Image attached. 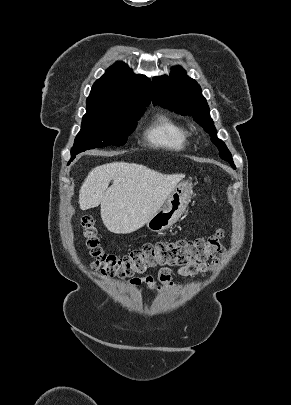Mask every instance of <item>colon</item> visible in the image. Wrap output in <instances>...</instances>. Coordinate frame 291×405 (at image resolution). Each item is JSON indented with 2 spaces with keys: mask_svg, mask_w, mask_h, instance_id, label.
<instances>
[{
  "mask_svg": "<svg viewBox=\"0 0 291 405\" xmlns=\"http://www.w3.org/2000/svg\"><path fill=\"white\" fill-rule=\"evenodd\" d=\"M82 236L93 267L104 277H129L157 267H185L193 263L218 260L224 254L223 232L193 240L146 243L125 255L105 252L100 246L94 219L81 220Z\"/></svg>",
  "mask_w": 291,
  "mask_h": 405,
  "instance_id": "5ec220e1",
  "label": "colon"
}]
</instances>
